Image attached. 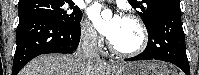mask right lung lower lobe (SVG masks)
Segmentation results:
<instances>
[{"label": "right lung lower lobe", "mask_w": 199, "mask_h": 75, "mask_svg": "<svg viewBox=\"0 0 199 75\" xmlns=\"http://www.w3.org/2000/svg\"><path fill=\"white\" fill-rule=\"evenodd\" d=\"M80 21L76 26L66 28L42 17L27 16L20 19L12 75H17L38 55L74 52L80 41Z\"/></svg>", "instance_id": "obj_1"}]
</instances>
